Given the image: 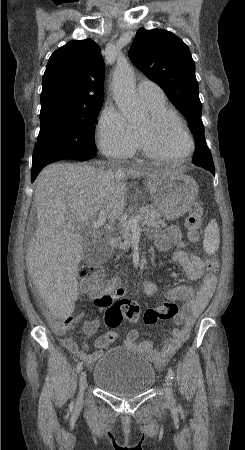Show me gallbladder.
Returning a JSON list of instances; mask_svg holds the SVG:
<instances>
[{"mask_svg": "<svg viewBox=\"0 0 245 450\" xmlns=\"http://www.w3.org/2000/svg\"><path fill=\"white\" fill-rule=\"evenodd\" d=\"M109 253L110 249L101 240L85 238L82 256L85 262H103Z\"/></svg>", "mask_w": 245, "mask_h": 450, "instance_id": "1", "label": "gallbladder"}]
</instances>
